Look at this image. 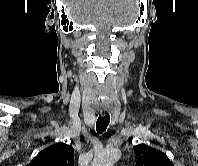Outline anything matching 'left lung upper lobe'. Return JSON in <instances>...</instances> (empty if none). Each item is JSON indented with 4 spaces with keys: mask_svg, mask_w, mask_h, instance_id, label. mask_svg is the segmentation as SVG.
I'll list each match as a JSON object with an SVG mask.
<instances>
[{
    "mask_svg": "<svg viewBox=\"0 0 198 166\" xmlns=\"http://www.w3.org/2000/svg\"><path fill=\"white\" fill-rule=\"evenodd\" d=\"M133 149L137 166H173L166 154L146 144L136 145Z\"/></svg>",
    "mask_w": 198,
    "mask_h": 166,
    "instance_id": "5c2ea615",
    "label": "left lung upper lobe"
}]
</instances>
